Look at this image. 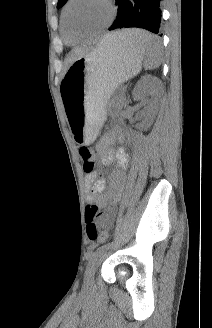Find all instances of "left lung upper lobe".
Wrapping results in <instances>:
<instances>
[{
  "instance_id": "obj_1",
  "label": "left lung upper lobe",
  "mask_w": 212,
  "mask_h": 328,
  "mask_svg": "<svg viewBox=\"0 0 212 328\" xmlns=\"http://www.w3.org/2000/svg\"><path fill=\"white\" fill-rule=\"evenodd\" d=\"M66 2L67 0H59L57 4V8H61Z\"/></svg>"
}]
</instances>
